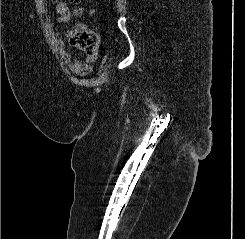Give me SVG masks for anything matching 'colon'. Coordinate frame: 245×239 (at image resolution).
Masks as SVG:
<instances>
[{
	"instance_id": "1",
	"label": "colon",
	"mask_w": 245,
	"mask_h": 239,
	"mask_svg": "<svg viewBox=\"0 0 245 239\" xmlns=\"http://www.w3.org/2000/svg\"><path fill=\"white\" fill-rule=\"evenodd\" d=\"M57 1V0H55ZM74 3H80L81 0H72ZM76 15H81L83 10L78 8L74 11ZM69 43L84 52L87 55L93 54L96 52L99 44L98 35L93 32L83 28H76L68 31L67 33Z\"/></svg>"
}]
</instances>
